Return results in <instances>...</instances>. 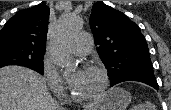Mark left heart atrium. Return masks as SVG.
Masks as SVG:
<instances>
[{"label": "left heart atrium", "mask_w": 171, "mask_h": 110, "mask_svg": "<svg viewBox=\"0 0 171 110\" xmlns=\"http://www.w3.org/2000/svg\"><path fill=\"white\" fill-rule=\"evenodd\" d=\"M83 72L84 70H78L68 79V83L71 88H73L79 82L80 78L83 75Z\"/></svg>", "instance_id": "1"}]
</instances>
